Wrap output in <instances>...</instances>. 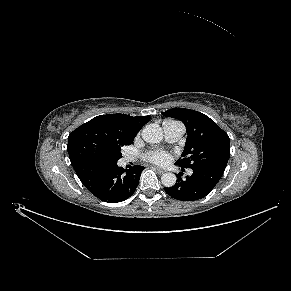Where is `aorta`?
I'll return each instance as SVG.
<instances>
[{"label": "aorta", "mask_w": 291, "mask_h": 291, "mask_svg": "<svg viewBox=\"0 0 291 291\" xmlns=\"http://www.w3.org/2000/svg\"><path fill=\"white\" fill-rule=\"evenodd\" d=\"M142 138L144 141L150 144L160 143L163 139V133L161 129L154 125H148L142 130ZM176 175L167 172L161 176V182L165 187H172L176 183Z\"/></svg>", "instance_id": "aorta-1"}]
</instances>
